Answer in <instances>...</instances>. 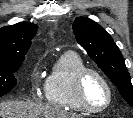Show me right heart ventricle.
Here are the masks:
<instances>
[{
	"label": "right heart ventricle",
	"instance_id": "obj_1",
	"mask_svg": "<svg viewBox=\"0 0 133 118\" xmlns=\"http://www.w3.org/2000/svg\"><path fill=\"white\" fill-rule=\"evenodd\" d=\"M86 64L79 54L67 51L55 61L45 85V96L49 104L62 109L83 112L75 95V81Z\"/></svg>",
	"mask_w": 133,
	"mask_h": 118
}]
</instances>
